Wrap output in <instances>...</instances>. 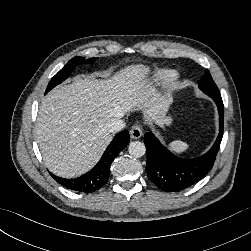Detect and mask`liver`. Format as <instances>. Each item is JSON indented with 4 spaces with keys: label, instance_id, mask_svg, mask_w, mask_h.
<instances>
[{
    "label": "liver",
    "instance_id": "liver-1",
    "mask_svg": "<svg viewBox=\"0 0 251 251\" xmlns=\"http://www.w3.org/2000/svg\"><path fill=\"white\" fill-rule=\"evenodd\" d=\"M150 68L133 65L112 78L77 76L42 100L35 134L44 162L57 176L73 178L90 170L112 140L108 123L135 108L161 124L170 99L157 93Z\"/></svg>",
    "mask_w": 251,
    "mask_h": 251
}]
</instances>
